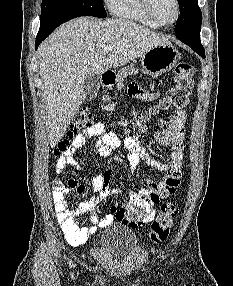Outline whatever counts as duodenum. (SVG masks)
Segmentation results:
<instances>
[{
    "label": "duodenum",
    "instance_id": "obj_1",
    "mask_svg": "<svg viewBox=\"0 0 233 286\" xmlns=\"http://www.w3.org/2000/svg\"><path fill=\"white\" fill-rule=\"evenodd\" d=\"M115 81V74L112 71H105L101 75V82L104 87H111Z\"/></svg>",
    "mask_w": 233,
    "mask_h": 286
}]
</instances>
